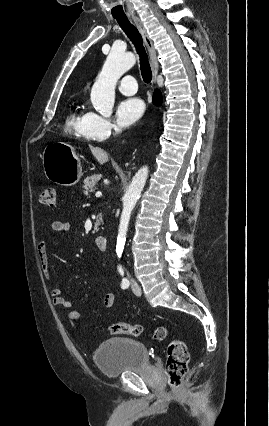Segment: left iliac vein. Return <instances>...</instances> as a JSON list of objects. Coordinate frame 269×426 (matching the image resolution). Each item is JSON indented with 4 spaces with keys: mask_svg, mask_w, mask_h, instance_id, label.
Listing matches in <instances>:
<instances>
[{
    "mask_svg": "<svg viewBox=\"0 0 269 426\" xmlns=\"http://www.w3.org/2000/svg\"><path fill=\"white\" fill-rule=\"evenodd\" d=\"M131 287H132V290H133L135 295H137V296L141 295V288L139 287V285L135 281H132Z\"/></svg>",
    "mask_w": 269,
    "mask_h": 426,
    "instance_id": "left-iliac-vein-1",
    "label": "left iliac vein"
}]
</instances>
